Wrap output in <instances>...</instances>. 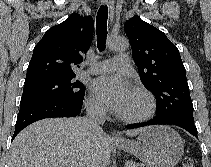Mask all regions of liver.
Instances as JSON below:
<instances>
[{
    "mask_svg": "<svg viewBox=\"0 0 211 167\" xmlns=\"http://www.w3.org/2000/svg\"><path fill=\"white\" fill-rule=\"evenodd\" d=\"M146 128L126 131L136 136ZM111 144L102 133L93 138L84 128V118H48L22 130L14 139L9 167H105Z\"/></svg>",
    "mask_w": 211,
    "mask_h": 167,
    "instance_id": "obj_1",
    "label": "liver"
}]
</instances>
